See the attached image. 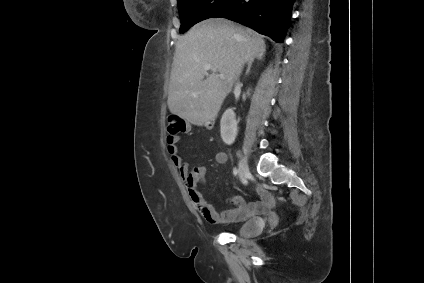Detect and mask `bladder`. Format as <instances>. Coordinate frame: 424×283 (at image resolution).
<instances>
[{"label":"bladder","instance_id":"obj_1","mask_svg":"<svg viewBox=\"0 0 424 283\" xmlns=\"http://www.w3.org/2000/svg\"><path fill=\"white\" fill-rule=\"evenodd\" d=\"M264 228V220L258 217L245 221L238 229L237 235L242 238H251L259 235Z\"/></svg>","mask_w":424,"mask_h":283}]
</instances>
